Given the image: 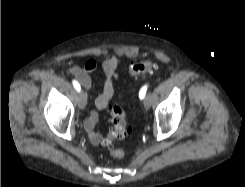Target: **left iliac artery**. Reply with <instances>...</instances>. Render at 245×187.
<instances>
[{
    "instance_id": "1",
    "label": "left iliac artery",
    "mask_w": 245,
    "mask_h": 187,
    "mask_svg": "<svg viewBox=\"0 0 245 187\" xmlns=\"http://www.w3.org/2000/svg\"><path fill=\"white\" fill-rule=\"evenodd\" d=\"M146 91H147V85L143 86L139 92V97L140 99H143L145 97V94H146Z\"/></svg>"
}]
</instances>
